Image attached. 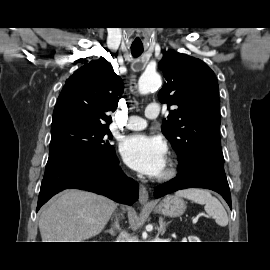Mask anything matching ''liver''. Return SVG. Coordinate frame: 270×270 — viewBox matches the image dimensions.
<instances>
[{
  "mask_svg": "<svg viewBox=\"0 0 270 270\" xmlns=\"http://www.w3.org/2000/svg\"><path fill=\"white\" fill-rule=\"evenodd\" d=\"M116 207L107 197L66 190L42 208V242H82L94 237L102 232Z\"/></svg>",
  "mask_w": 270,
  "mask_h": 270,
  "instance_id": "obj_1",
  "label": "liver"
}]
</instances>
